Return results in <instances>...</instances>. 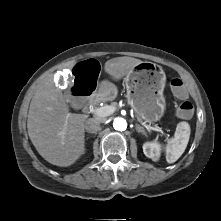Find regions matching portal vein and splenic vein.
I'll list each match as a JSON object with an SVG mask.
<instances>
[{
  "instance_id": "18ae733b",
  "label": "portal vein and splenic vein",
  "mask_w": 221,
  "mask_h": 221,
  "mask_svg": "<svg viewBox=\"0 0 221 221\" xmlns=\"http://www.w3.org/2000/svg\"><path fill=\"white\" fill-rule=\"evenodd\" d=\"M115 111V107L114 106H103V107H99V108H96V109H93L92 112L98 116V117H107L111 114H113ZM141 124L146 127L147 129H151V130H154V131H158L160 133H163V130L160 128V127H151L149 125H146L144 122L140 121Z\"/></svg>"
}]
</instances>
